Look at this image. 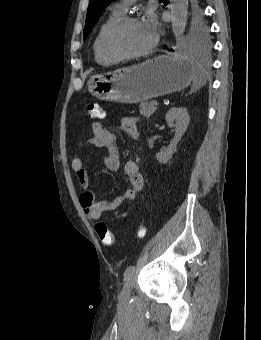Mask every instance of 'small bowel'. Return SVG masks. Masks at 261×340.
<instances>
[{"mask_svg":"<svg viewBox=\"0 0 261 340\" xmlns=\"http://www.w3.org/2000/svg\"><path fill=\"white\" fill-rule=\"evenodd\" d=\"M121 126L132 138L136 139L138 137L137 119L135 117H123ZM92 133V138L80 143V147L89 143L96 147L103 148L105 150L103 157L105 166L111 171L119 170L121 163L116 147V134L98 122L93 124ZM71 166L77 177L79 186L82 189L79 197L80 204L85 214L92 220H97L104 213L108 212H114L119 218L126 217L128 211H119L120 207L125 202L133 201L136 194L141 191L144 186L143 176L139 168V159L133 157L128 159L124 164V171L128 176L130 187L112 201L96 200L94 192L89 190L90 178L82 159L79 156H75Z\"/></svg>","mask_w":261,"mask_h":340,"instance_id":"1","label":"small bowel"}]
</instances>
